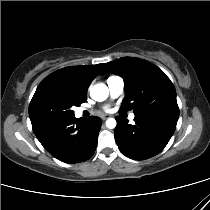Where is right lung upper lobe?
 I'll return each mask as SVG.
<instances>
[{"instance_id":"obj_1","label":"right lung upper lobe","mask_w":210,"mask_h":210,"mask_svg":"<svg viewBox=\"0 0 210 210\" xmlns=\"http://www.w3.org/2000/svg\"><path fill=\"white\" fill-rule=\"evenodd\" d=\"M103 64L92 66H70L48 75L37 87L30 102L29 116L33 117L37 106L49 95L66 92L86 100L90 83L97 76Z\"/></svg>"}]
</instances>
